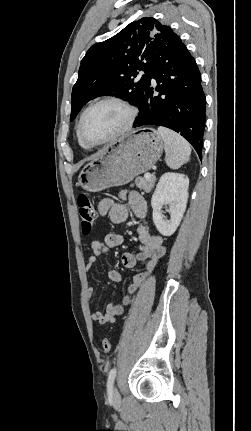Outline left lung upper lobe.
<instances>
[{
  "mask_svg": "<svg viewBox=\"0 0 251 431\" xmlns=\"http://www.w3.org/2000/svg\"><path fill=\"white\" fill-rule=\"evenodd\" d=\"M172 34L169 26L144 17L108 40L94 44L81 61L72 90L70 121L88 101L112 92L139 107L148 86L152 56ZM139 71L145 72L141 78Z\"/></svg>",
  "mask_w": 251,
  "mask_h": 431,
  "instance_id": "1",
  "label": "left lung upper lobe"
}]
</instances>
